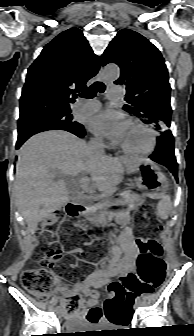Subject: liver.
Here are the masks:
<instances>
[{"label": "liver", "instance_id": "obj_1", "mask_svg": "<svg viewBox=\"0 0 194 336\" xmlns=\"http://www.w3.org/2000/svg\"><path fill=\"white\" fill-rule=\"evenodd\" d=\"M137 160L97 154L84 140L66 131L32 136L18 152L15 178L16 202L28 233L34 234L43 219L71 200L62 177L88 173L94 188L109 193L122 182L125 166ZM87 184L88 179L80 181L82 188Z\"/></svg>", "mask_w": 194, "mask_h": 336}]
</instances>
